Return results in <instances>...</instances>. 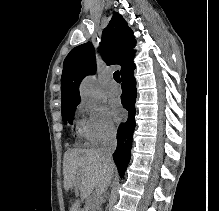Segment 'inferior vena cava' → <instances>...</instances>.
<instances>
[{
	"instance_id": "obj_1",
	"label": "inferior vena cava",
	"mask_w": 219,
	"mask_h": 211,
	"mask_svg": "<svg viewBox=\"0 0 219 211\" xmlns=\"http://www.w3.org/2000/svg\"><path fill=\"white\" fill-rule=\"evenodd\" d=\"M117 145L116 133H106L105 137H103V141L98 149L101 151L104 159H109V161H105L104 165L107 166L106 170L110 171L111 175H118L119 171L115 170L117 165L116 161L112 159V153L115 151Z\"/></svg>"
}]
</instances>
